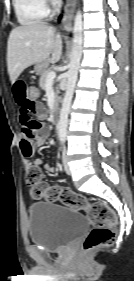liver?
<instances>
[{
    "instance_id": "6515ba94",
    "label": "liver",
    "mask_w": 134,
    "mask_h": 281,
    "mask_svg": "<svg viewBox=\"0 0 134 281\" xmlns=\"http://www.w3.org/2000/svg\"><path fill=\"white\" fill-rule=\"evenodd\" d=\"M61 55L62 37L56 34L54 27L43 22H31L14 28L7 45V67L11 82L14 83L29 66L42 62L56 63Z\"/></svg>"
}]
</instances>
